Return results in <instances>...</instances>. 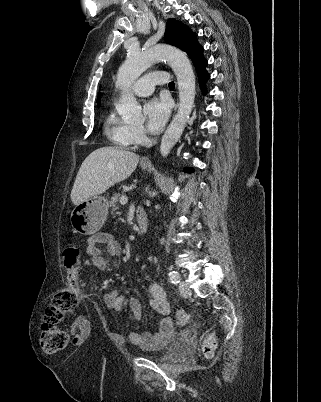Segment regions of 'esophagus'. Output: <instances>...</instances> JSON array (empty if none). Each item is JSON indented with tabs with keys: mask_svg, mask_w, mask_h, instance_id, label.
Listing matches in <instances>:
<instances>
[{
	"mask_svg": "<svg viewBox=\"0 0 321 402\" xmlns=\"http://www.w3.org/2000/svg\"><path fill=\"white\" fill-rule=\"evenodd\" d=\"M141 163L146 164V165H151V156H144L141 159Z\"/></svg>",
	"mask_w": 321,
	"mask_h": 402,
	"instance_id": "obj_1",
	"label": "esophagus"
}]
</instances>
